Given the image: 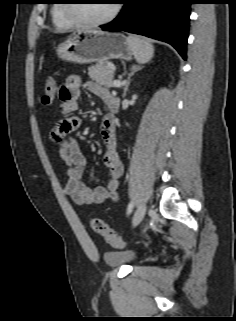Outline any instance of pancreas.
<instances>
[{"label":"pancreas","instance_id":"pancreas-1","mask_svg":"<svg viewBox=\"0 0 236 321\" xmlns=\"http://www.w3.org/2000/svg\"><path fill=\"white\" fill-rule=\"evenodd\" d=\"M88 75L91 79L100 83L101 85L110 88L114 85V69L113 65L109 62H99L96 65L88 68Z\"/></svg>","mask_w":236,"mask_h":321}]
</instances>
